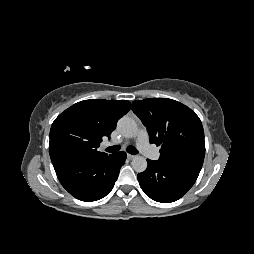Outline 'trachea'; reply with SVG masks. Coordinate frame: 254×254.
Here are the masks:
<instances>
[{
    "label": "trachea",
    "instance_id": "obj_1",
    "mask_svg": "<svg viewBox=\"0 0 254 254\" xmlns=\"http://www.w3.org/2000/svg\"><path fill=\"white\" fill-rule=\"evenodd\" d=\"M119 150H120V146H118V145L110 146V147L106 148V151L109 152V153H115ZM127 152L130 153V154H133V155L138 153L137 149L132 147V146H129L127 148Z\"/></svg>",
    "mask_w": 254,
    "mask_h": 254
}]
</instances>
